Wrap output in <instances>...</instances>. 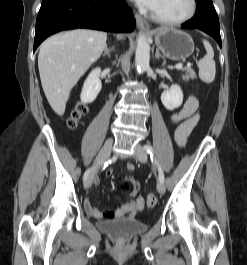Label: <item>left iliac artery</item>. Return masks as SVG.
I'll return each mask as SVG.
<instances>
[{
	"label": "left iliac artery",
	"instance_id": "44dca946",
	"mask_svg": "<svg viewBox=\"0 0 247 265\" xmlns=\"http://www.w3.org/2000/svg\"><path fill=\"white\" fill-rule=\"evenodd\" d=\"M143 148H144V149L147 151V153L150 155L151 161L157 165L158 172H159V180H160V182L163 183V182H164V173H163V171H162L161 166L159 165V163L157 162V160H156L155 157H154V150H153V147H152L151 145L147 144V145H144Z\"/></svg>",
	"mask_w": 247,
	"mask_h": 265
}]
</instances>
